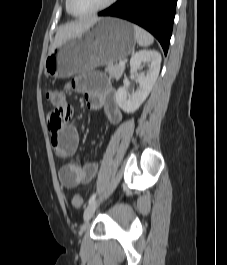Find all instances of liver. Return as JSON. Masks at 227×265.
<instances>
[{"label":"liver","mask_w":227,"mask_h":265,"mask_svg":"<svg viewBox=\"0 0 227 265\" xmlns=\"http://www.w3.org/2000/svg\"><path fill=\"white\" fill-rule=\"evenodd\" d=\"M97 20L98 19L80 20L77 22L67 23L65 25L60 26L57 30L54 43L52 44L50 50L65 43L69 39L80 36L85 31H87Z\"/></svg>","instance_id":"6515ba94"}]
</instances>
